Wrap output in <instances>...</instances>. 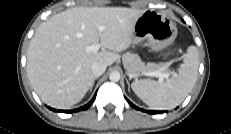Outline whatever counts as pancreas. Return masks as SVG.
I'll return each instance as SVG.
<instances>
[{
  "label": "pancreas",
  "instance_id": "1",
  "mask_svg": "<svg viewBox=\"0 0 231 134\" xmlns=\"http://www.w3.org/2000/svg\"><path fill=\"white\" fill-rule=\"evenodd\" d=\"M122 61L124 68L130 73V74H138L141 72H151V71H165L166 70V64L165 63H147L143 62L139 55L134 53H125L122 56Z\"/></svg>",
  "mask_w": 231,
  "mask_h": 134
}]
</instances>
